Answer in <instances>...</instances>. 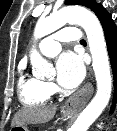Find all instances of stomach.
<instances>
[{
  "label": "stomach",
  "instance_id": "obj_1",
  "mask_svg": "<svg viewBox=\"0 0 117 131\" xmlns=\"http://www.w3.org/2000/svg\"><path fill=\"white\" fill-rule=\"evenodd\" d=\"M63 114L65 117H68V116L72 115L73 113L71 111H64ZM12 130H14V131H29L26 125L14 126L12 128Z\"/></svg>",
  "mask_w": 117,
  "mask_h": 131
}]
</instances>
